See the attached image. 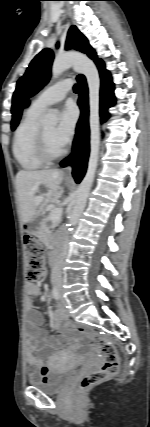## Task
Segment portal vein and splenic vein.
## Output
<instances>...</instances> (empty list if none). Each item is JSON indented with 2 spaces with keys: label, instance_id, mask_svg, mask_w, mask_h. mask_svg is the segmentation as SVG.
<instances>
[{
  "label": "portal vein and splenic vein",
  "instance_id": "1",
  "mask_svg": "<svg viewBox=\"0 0 150 427\" xmlns=\"http://www.w3.org/2000/svg\"><path fill=\"white\" fill-rule=\"evenodd\" d=\"M44 200V196L40 195V196H36L35 197V202L37 204L41 203ZM62 216V209L61 208H54L51 210L50 214H49V218L52 222H57Z\"/></svg>",
  "mask_w": 150,
  "mask_h": 427
}]
</instances>
